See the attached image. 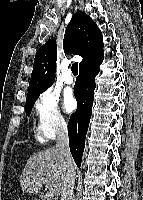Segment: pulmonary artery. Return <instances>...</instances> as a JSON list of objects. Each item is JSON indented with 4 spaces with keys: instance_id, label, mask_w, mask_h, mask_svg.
Instances as JSON below:
<instances>
[{
    "instance_id": "e3ab8cb5",
    "label": "pulmonary artery",
    "mask_w": 143,
    "mask_h": 200,
    "mask_svg": "<svg viewBox=\"0 0 143 200\" xmlns=\"http://www.w3.org/2000/svg\"><path fill=\"white\" fill-rule=\"evenodd\" d=\"M64 82L66 84H73L74 78H73L72 73H71L70 70L66 71L65 76H64Z\"/></svg>"
}]
</instances>
